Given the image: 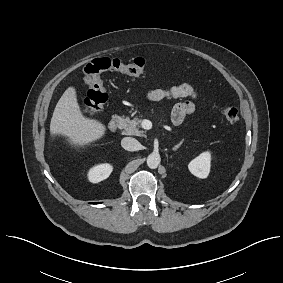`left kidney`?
<instances>
[{"mask_svg":"<svg viewBox=\"0 0 283 283\" xmlns=\"http://www.w3.org/2000/svg\"><path fill=\"white\" fill-rule=\"evenodd\" d=\"M210 162V152H203L189 163V171L198 178H207L210 172Z\"/></svg>","mask_w":283,"mask_h":283,"instance_id":"1","label":"left kidney"}]
</instances>
